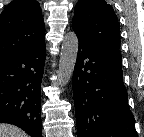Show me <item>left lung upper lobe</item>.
Segmentation results:
<instances>
[{
	"instance_id": "obj_1",
	"label": "left lung upper lobe",
	"mask_w": 144,
	"mask_h": 137,
	"mask_svg": "<svg viewBox=\"0 0 144 137\" xmlns=\"http://www.w3.org/2000/svg\"><path fill=\"white\" fill-rule=\"evenodd\" d=\"M72 24L78 37L102 52L121 58L118 19L104 0H79Z\"/></svg>"
}]
</instances>
